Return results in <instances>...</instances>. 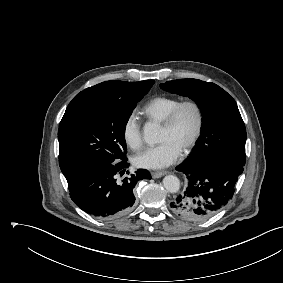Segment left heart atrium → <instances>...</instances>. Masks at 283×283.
<instances>
[{"label": "left heart atrium", "instance_id": "39dd6f15", "mask_svg": "<svg viewBox=\"0 0 283 283\" xmlns=\"http://www.w3.org/2000/svg\"><path fill=\"white\" fill-rule=\"evenodd\" d=\"M181 149L169 141L149 146L136 153L133 163L146 169H161L173 164L180 156Z\"/></svg>", "mask_w": 283, "mask_h": 283}]
</instances>
